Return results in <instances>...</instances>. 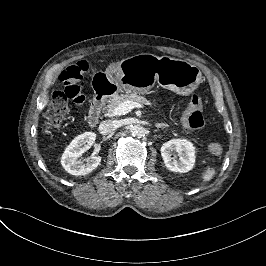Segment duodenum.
<instances>
[{
	"instance_id": "obj_1",
	"label": "duodenum",
	"mask_w": 266,
	"mask_h": 266,
	"mask_svg": "<svg viewBox=\"0 0 266 266\" xmlns=\"http://www.w3.org/2000/svg\"><path fill=\"white\" fill-rule=\"evenodd\" d=\"M93 103L88 115V121L91 125H96L101 116L102 105H105L113 96V89L110 86V80L105 75H98L93 80Z\"/></svg>"
}]
</instances>
